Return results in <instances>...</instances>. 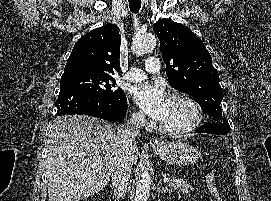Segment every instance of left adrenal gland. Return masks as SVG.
<instances>
[{
	"label": "left adrenal gland",
	"instance_id": "left-adrenal-gland-1",
	"mask_svg": "<svg viewBox=\"0 0 271 201\" xmlns=\"http://www.w3.org/2000/svg\"><path fill=\"white\" fill-rule=\"evenodd\" d=\"M157 191H158L159 194H160V193L166 194L167 192L172 193V191H171L170 189H168L167 186L162 187L161 185H160V186L157 185Z\"/></svg>",
	"mask_w": 271,
	"mask_h": 201
}]
</instances>
